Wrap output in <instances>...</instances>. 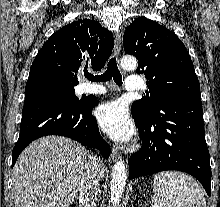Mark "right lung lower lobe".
<instances>
[{
  "instance_id": "1",
  "label": "right lung lower lobe",
  "mask_w": 220,
  "mask_h": 207,
  "mask_svg": "<svg viewBox=\"0 0 220 207\" xmlns=\"http://www.w3.org/2000/svg\"><path fill=\"white\" fill-rule=\"evenodd\" d=\"M97 99L75 102L59 86L44 81L26 83L19 139L13 149L12 166L23 149L42 136L61 135L100 150L104 158L110 146L101 137L92 108Z\"/></svg>"
}]
</instances>
